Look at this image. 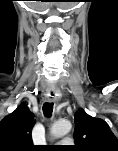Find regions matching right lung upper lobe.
<instances>
[{
  "mask_svg": "<svg viewBox=\"0 0 118 151\" xmlns=\"http://www.w3.org/2000/svg\"><path fill=\"white\" fill-rule=\"evenodd\" d=\"M34 114L26 103L0 121V151H31V130L34 126Z\"/></svg>",
  "mask_w": 118,
  "mask_h": 151,
  "instance_id": "1",
  "label": "right lung upper lobe"
}]
</instances>
